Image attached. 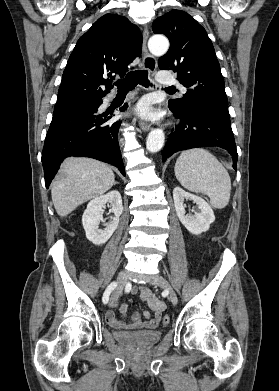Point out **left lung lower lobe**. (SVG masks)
<instances>
[{"label": "left lung lower lobe", "mask_w": 279, "mask_h": 391, "mask_svg": "<svg viewBox=\"0 0 279 391\" xmlns=\"http://www.w3.org/2000/svg\"><path fill=\"white\" fill-rule=\"evenodd\" d=\"M169 107L181 123L171 133L163 149V161L177 151L218 146L232 155L233 168L237 170L238 154L229 115L203 104H190L189 107L180 109L169 102Z\"/></svg>", "instance_id": "left-lung-lower-lobe-1"}]
</instances>
